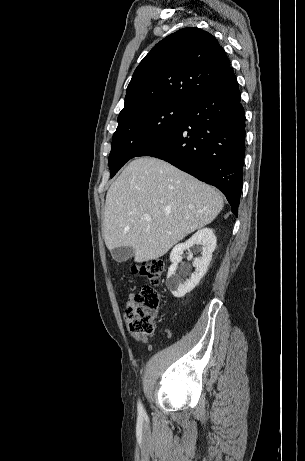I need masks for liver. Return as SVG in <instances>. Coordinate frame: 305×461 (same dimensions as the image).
Wrapping results in <instances>:
<instances>
[{
	"instance_id": "obj_1",
	"label": "liver",
	"mask_w": 305,
	"mask_h": 461,
	"mask_svg": "<svg viewBox=\"0 0 305 461\" xmlns=\"http://www.w3.org/2000/svg\"><path fill=\"white\" fill-rule=\"evenodd\" d=\"M219 192L153 157L128 164L110 186L105 202L106 247L134 249V261L163 256L188 234L211 223L223 209ZM148 214L151 221L144 215Z\"/></svg>"
}]
</instances>
